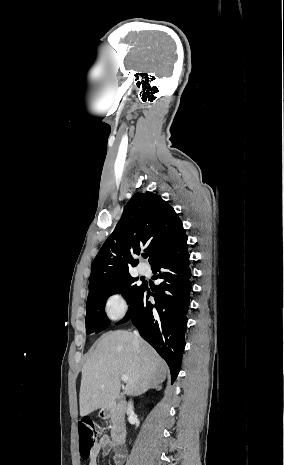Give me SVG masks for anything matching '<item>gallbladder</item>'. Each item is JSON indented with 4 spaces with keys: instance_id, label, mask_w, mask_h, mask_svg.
<instances>
[{
    "instance_id": "bac80fb5",
    "label": "gallbladder",
    "mask_w": 284,
    "mask_h": 465,
    "mask_svg": "<svg viewBox=\"0 0 284 465\" xmlns=\"http://www.w3.org/2000/svg\"><path fill=\"white\" fill-rule=\"evenodd\" d=\"M117 401H121V399H117Z\"/></svg>"
}]
</instances>
